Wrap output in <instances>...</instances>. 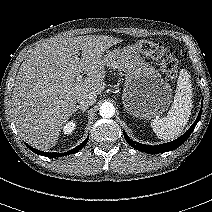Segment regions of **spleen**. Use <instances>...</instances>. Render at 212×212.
Instances as JSON below:
<instances>
[{"label":"spleen","instance_id":"1","mask_svg":"<svg viewBox=\"0 0 212 212\" xmlns=\"http://www.w3.org/2000/svg\"><path fill=\"white\" fill-rule=\"evenodd\" d=\"M192 84L185 69H181L173 104L168 114L151 122L158 138L172 140L177 138L189 121L192 110Z\"/></svg>","mask_w":212,"mask_h":212}]
</instances>
